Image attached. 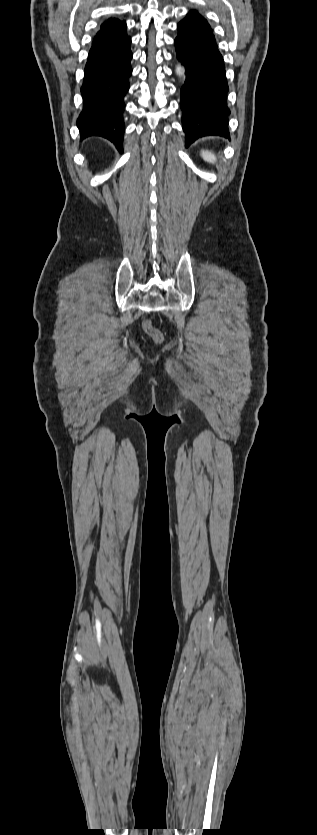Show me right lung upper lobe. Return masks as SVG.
<instances>
[{
  "instance_id": "obj_1",
  "label": "right lung upper lobe",
  "mask_w": 317,
  "mask_h": 835,
  "mask_svg": "<svg viewBox=\"0 0 317 835\" xmlns=\"http://www.w3.org/2000/svg\"><path fill=\"white\" fill-rule=\"evenodd\" d=\"M100 33L110 40H118L127 35L126 23L115 18L108 19L106 23L101 25Z\"/></svg>"
}]
</instances>
